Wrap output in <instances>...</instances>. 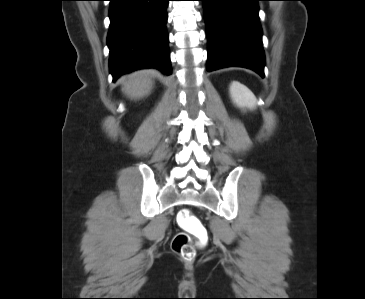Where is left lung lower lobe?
Here are the masks:
<instances>
[{
	"mask_svg": "<svg viewBox=\"0 0 365 299\" xmlns=\"http://www.w3.org/2000/svg\"><path fill=\"white\" fill-rule=\"evenodd\" d=\"M208 39L207 71L238 66L264 77L265 56L258 1L200 0Z\"/></svg>",
	"mask_w": 365,
	"mask_h": 299,
	"instance_id": "left-lung-lower-lobe-1",
	"label": "left lung lower lobe"
}]
</instances>
